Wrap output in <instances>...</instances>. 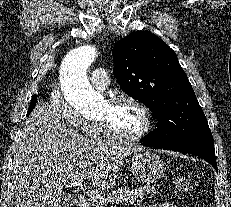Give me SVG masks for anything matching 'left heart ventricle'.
<instances>
[{
	"mask_svg": "<svg viewBox=\"0 0 231 207\" xmlns=\"http://www.w3.org/2000/svg\"><path fill=\"white\" fill-rule=\"evenodd\" d=\"M97 117L107 119L116 131L125 135H133L144 126L141 110L128 102L112 106L104 101Z\"/></svg>",
	"mask_w": 231,
	"mask_h": 207,
	"instance_id": "b2bd125f",
	"label": "left heart ventricle"
}]
</instances>
